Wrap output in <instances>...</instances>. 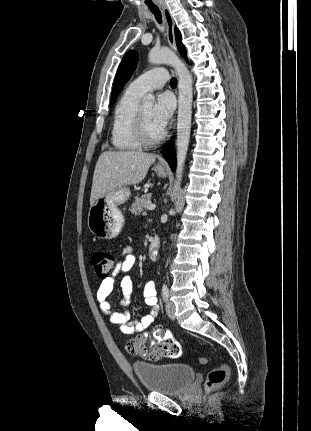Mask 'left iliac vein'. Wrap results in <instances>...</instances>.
Instances as JSON below:
<instances>
[{
  "label": "left iliac vein",
  "mask_w": 311,
  "mask_h": 431,
  "mask_svg": "<svg viewBox=\"0 0 311 431\" xmlns=\"http://www.w3.org/2000/svg\"><path fill=\"white\" fill-rule=\"evenodd\" d=\"M166 313H167V316L170 319H172V320L175 319V305H174L173 302L167 301V303H166Z\"/></svg>",
  "instance_id": "obj_1"
}]
</instances>
